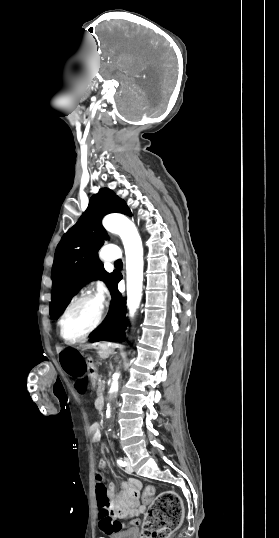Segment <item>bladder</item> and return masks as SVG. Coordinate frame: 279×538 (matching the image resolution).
I'll list each match as a JSON object with an SVG mask.
<instances>
[{
  "mask_svg": "<svg viewBox=\"0 0 279 538\" xmlns=\"http://www.w3.org/2000/svg\"><path fill=\"white\" fill-rule=\"evenodd\" d=\"M109 538H139L138 532H110Z\"/></svg>",
  "mask_w": 279,
  "mask_h": 538,
  "instance_id": "1",
  "label": "bladder"
}]
</instances>
